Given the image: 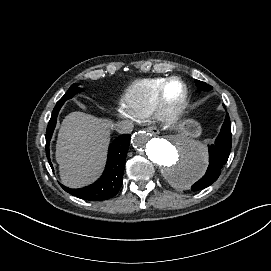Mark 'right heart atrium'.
<instances>
[{
  "label": "right heart atrium",
  "instance_id": "obj_1",
  "mask_svg": "<svg viewBox=\"0 0 271 271\" xmlns=\"http://www.w3.org/2000/svg\"><path fill=\"white\" fill-rule=\"evenodd\" d=\"M118 112H119L121 115H127V112H126L123 108H118Z\"/></svg>",
  "mask_w": 271,
  "mask_h": 271
}]
</instances>
